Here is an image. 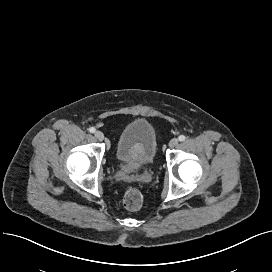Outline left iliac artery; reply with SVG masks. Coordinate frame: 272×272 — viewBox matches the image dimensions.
<instances>
[{"label":"left iliac artery","mask_w":272,"mask_h":272,"mask_svg":"<svg viewBox=\"0 0 272 272\" xmlns=\"http://www.w3.org/2000/svg\"><path fill=\"white\" fill-rule=\"evenodd\" d=\"M178 139H179V141H184V140L186 139V136L180 135V136L178 137Z\"/></svg>","instance_id":"obj_1"}]
</instances>
